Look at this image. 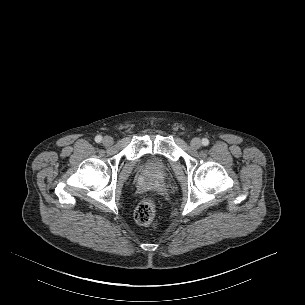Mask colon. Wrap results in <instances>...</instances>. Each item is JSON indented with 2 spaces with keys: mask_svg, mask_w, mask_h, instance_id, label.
Returning a JSON list of instances; mask_svg holds the SVG:
<instances>
[{
  "mask_svg": "<svg viewBox=\"0 0 305 305\" xmlns=\"http://www.w3.org/2000/svg\"><path fill=\"white\" fill-rule=\"evenodd\" d=\"M135 220L144 226L156 227V203L152 198H145L139 202L134 212Z\"/></svg>",
  "mask_w": 305,
  "mask_h": 305,
  "instance_id": "colon-1",
  "label": "colon"
}]
</instances>
